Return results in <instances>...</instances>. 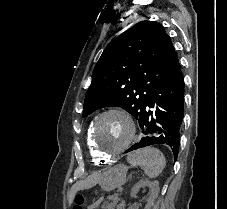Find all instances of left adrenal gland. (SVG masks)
<instances>
[{"mask_svg": "<svg viewBox=\"0 0 227 209\" xmlns=\"http://www.w3.org/2000/svg\"><path fill=\"white\" fill-rule=\"evenodd\" d=\"M128 179H131V175H128Z\"/></svg>", "mask_w": 227, "mask_h": 209, "instance_id": "a2214340", "label": "left adrenal gland"}]
</instances>
